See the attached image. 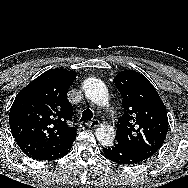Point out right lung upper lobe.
<instances>
[{
  "label": "right lung upper lobe",
  "instance_id": "1",
  "mask_svg": "<svg viewBox=\"0 0 188 188\" xmlns=\"http://www.w3.org/2000/svg\"><path fill=\"white\" fill-rule=\"evenodd\" d=\"M75 76V71L51 69L17 94L9 124L16 143L28 157L75 139L77 129L68 124L73 107L67 99Z\"/></svg>",
  "mask_w": 188,
  "mask_h": 188
}]
</instances>
